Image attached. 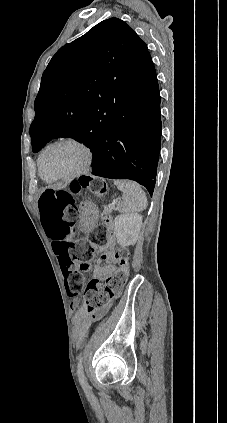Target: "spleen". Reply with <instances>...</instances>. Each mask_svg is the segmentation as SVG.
<instances>
[{
    "label": "spleen",
    "mask_w": 227,
    "mask_h": 423,
    "mask_svg": "<svg viewBox=\"0 0 227 423\" xmlns=\"http://www.w3.org/2000/svg\"><path fill=\"white\" fill-rule=\"evenodd\" d=\"M114 184L123 192L122 202H118L117 210L121 213H139L145 210L147 198L139 184L130 180H114Z\"/></svg>",
    "instance_id": "3e777b00"
}]
</instances>
